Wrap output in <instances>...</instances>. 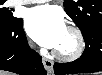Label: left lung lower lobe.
<instances>
[{"instance_id": "left-lung-lower-lobe-1", "label": "left lung lower lobe", "mask_w": 102, "mask_h": 75, "mask_svg": "<svg viewBox=\"0 0 102 75\" xmlns=\"http://www.w3.org/2000/svg\"><path fill=\"white\" fill-rule=\"evenodd\" d=\"M82 34L86 43L84 53L73 62L55 63L56 75L102 71V27L87 28Z\"/></svg>"}]
</instances>
